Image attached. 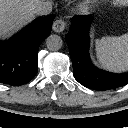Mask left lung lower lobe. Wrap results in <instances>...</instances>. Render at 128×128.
I'll return each mask as SVG.
<instances>
[{"label": "left lung lower lobe", "instance_id": "obj_1", "mask_svg": "<svg viewBox=\"0 0 128 128\" xmlns=\"http://www.w3.org/2000/svg\"><path fill=\"white\" fill-rule=\"evenodd\" d=\"M90 22V16L73 17L70 32L66 35L75 79L83 86L99 91L128 84V73H110L92 64L88 52Z\"/></svg>", "mask_w": 128, "mask_h": 128}]
</instances>
